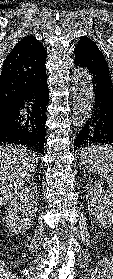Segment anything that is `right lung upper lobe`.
Wrapping results in <instances>:
<instances>
[{"label": "right lung upper lobe", "instance_id": "cb5924a9", "mask_svg": "<svg viewBox=\"0 0 113 279\" xmlns=\"http://www.w3.org/2000/svg\"><path fill=\"white\" fill-rule=\"evenodd\" d=\"M47 52L34 36L20 40L6 57L0 75V111L9 109L46 72Z\"/></svg>", "mask_w": 113, "mask_h": 279}]
</instances>
